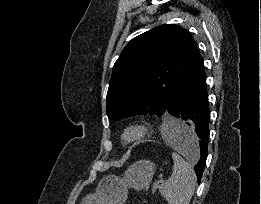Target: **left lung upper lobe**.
<instances>
[{
	"label": "left lung upper lobe",
	"instance_id": "obj_1",
	"mask_svg": "<svg viewBox=\"0 0 261 204\" xmlns=\"http://www.w3.org/2000/svg\"><path fill=\"white\" fill-rule=\"evenodd\" d=\"M196 49L189 31L175 24L132 39L114 64L106 98L108 118L164 114Z\"/></svg>",
	"mask_w": 261,
	"mask_h": 204
}]
</instances>
